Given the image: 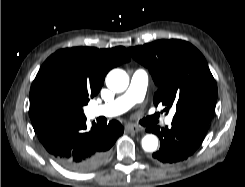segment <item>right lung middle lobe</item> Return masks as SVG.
Segmentation results:
<instances>
[{"label": "right lung middle lobe", "mask_w": 245, "mask_h": 187, "mask_svg": "<svg viewBox=\"0 0 245 187\" xmlns=\"http://www.w3.org/2000/svg\"><path fill=\"white\" fill-rule=\"evenodd\" d=\"M88 94L64 71L39 70L30 89V115L47 122L84 117Z\"/></svg>", "instance_id": "dd1d6c3e"}]
</instances>
